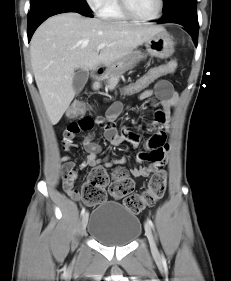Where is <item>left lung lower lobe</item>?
I'll return each instance as SVG.
<instances>
[{
  "label": "left lung lower lobe",
  "mask_w": 231,
  "mask_h": 281,
  "mask_svg": "<svg viewBox=\"0 0 231 281\" xmlns=\"http://www.w3.org/2000/svg\"><path fill=\"white\" fill-rule=\"evenodd\" d=\"M157 23H177L183 25L186 31L193 37L195 45L198 42V17L197 0H184L175 3L164 11V15Z\"/></svg>",
  "instance_id": "0a47b994"
}]
</instances>
